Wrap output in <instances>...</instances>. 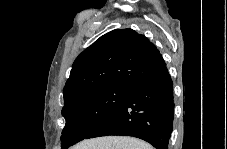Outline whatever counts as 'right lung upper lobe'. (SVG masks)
<instances>
[{
    "label": "right lung upper lobe",
    "mask_w": 227,
    "mask_h": 149,
    "mask_svg": "<svg viewBox=\"0 0 227 149\" xmlns=\"http://www.w3.org/2000/svg\"><path fill=\"white\" fill-rule=\"evenodd\" d=\"M166 66L159 50L132 29H116L85 49L75 60L63 89L64 107L100 87H133Z\"/></svg>",
    "instance_id": "right-lung-upper-lobe-1"
}]
</instances>
